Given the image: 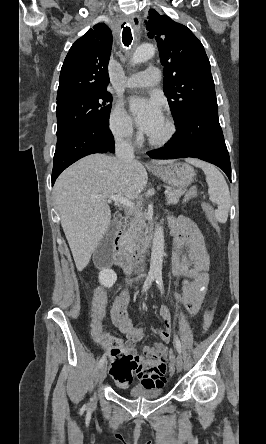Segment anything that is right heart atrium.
Returning a JSON list of instances; mask_svg holds the SVG:
<instances>
[{
    "label": "right heart atrium",
    "instance_id": "d8ad5b80",
    "mask_svg": "<svg viewBox=\"0 0 266 444\" xmlns=\"http://www.w3.org/2000/svg\"><path fill=\"white\" fill-rule=\"evenodd\" d=\"M109 128L118 141L130 142L136 136L133 121L121 104H117L112 109L109 117Z\"/></svg>",
    "mask_w": 266,
    "mask_h": 444
}]
</instances>
